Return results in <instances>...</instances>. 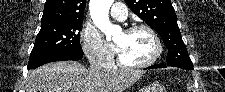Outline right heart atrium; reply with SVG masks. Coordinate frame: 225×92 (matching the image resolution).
Masks as SVG:
<instances>
[{"label": "right heart atrium", "instance_id": "right-heart-atrium-1", "mask_svg": "<svg viewBox=\"0 0 225 92\" xmlns=\"http://www.w3.org/2000/svg\"><path fill=\"white\" fill-rule=\"evenodd\" d=\"M80 38L83 50L92 62L103 67L111 63V55L94 26L84 25Z\"/></svg>", "mask_w": 225, "mask_h": 92}]
</instances>
